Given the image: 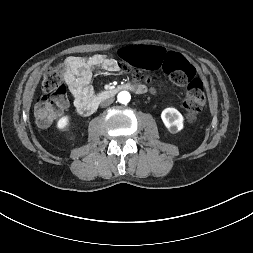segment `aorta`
Segmentation results:
<instances>
[{"mask_svg": "<svg viewBox=\"0 0 253 253\" xmlns=\"http://www.w3.org/2000/svg\"><path fill=\"white\" fill-rule=\"evenodd\" d=\"M118 102L122 103V104H127L130 99V93L127 91H121L118 96H117Z\"/></svg>", "mask_w": 253, "mask_h": 253, "instance_id": "aorta-1", "label": "aorta"}]
</instances>
